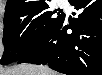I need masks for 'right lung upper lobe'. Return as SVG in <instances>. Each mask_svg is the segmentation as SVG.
I'll return each mask as SVG.
<instances>
[{
    "instance_id": "right-lung-upper-lobe-1",
    "label": "right lung upper lobe",
    "mask_w": 102,
    "mask_h": 75,
    "mask_svg": "<svg viewBox=\"0 0 102 75\" xmlns=\"http://www.w3.org/2000/svg\"><path fill=\"white\" fill-rule=\"evenodd\" d=\"M49 2L50 0H7L5 15L23 10L37 9Z\"/></svg>"
}]
</instances>
